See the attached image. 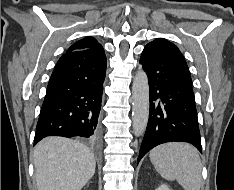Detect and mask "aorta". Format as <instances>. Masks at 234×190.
I'll return each mask as SVG.
<instances>
[{
  "instance_id": "1",
  "label": "aorta",
  "mask_w": 234,
  "mask_h": 190,
  "mask_svg": "<svg viewBox=\"0 0 234 190\" xmlns=\"http://www.w3.org/2000/svg\"><path fill=\"white\" fill-rule=\"evenodd\" d=\"M149 117V85L147 74L138 70L132 84L133 132L141 136L147 127Z\"/></svg>"
}]
</instances>
